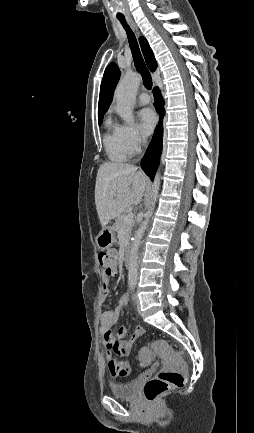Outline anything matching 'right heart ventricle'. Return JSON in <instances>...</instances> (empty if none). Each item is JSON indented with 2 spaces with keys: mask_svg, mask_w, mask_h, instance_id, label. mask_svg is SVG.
Returning <instances> with one entry per match:
<instances>
[{
  "mask_svg": "<svg viewBox=\"0 0 254 433\" xmlns=\"http://www.w3.org/2000/svg\"><path fill=\"white\" fill-rule=\"evenodd\" d=\"M103 143L108 158L113 162H125L131 155L124 143L121 127L111 119L106 121Z\"/></svg>",
  "mask_w": 254,
  "mask_h": 433,
  "instance_id": "1",
  "label": "right heart ventricle"
}]
</instances>
